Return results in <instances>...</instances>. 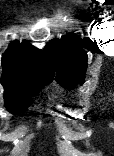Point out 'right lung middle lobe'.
<instances>
[{"label":"right lung middle lobe","mask_w":114,"mask_h":156,"mask_svg":"<svg viewBox=\"0 0 114 156\" xmlns=\"http://www.w3.org/2000/svg\"><path fill=\"white\" fill-rule=\"evenodd\" d=\"M53 77H37L21 83L1 81L4 86L5 106L9 112L17 114L25 110L30 104L29 97L36 95L43 85L50 83Z\"/></svg>","instance_id":"dd1d6c3e"}]
</instances>
